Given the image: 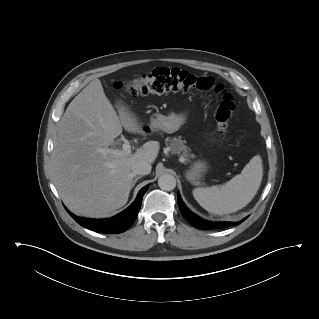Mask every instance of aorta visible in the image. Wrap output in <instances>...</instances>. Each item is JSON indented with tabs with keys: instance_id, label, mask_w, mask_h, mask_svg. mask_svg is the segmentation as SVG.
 Instances as JSON below:
<instances>
[{
	"instance_id": "aorta-1",
	"label": "aorta",
	"mask_w": 319,
	"mask_h": 319,
	"mask_svg": "<svg viewBox=\"0 0 319 319\" xmlns=\"http://www.w3.org/2000/svg\"><path fill=\"white\" fill-rule=\"evenodd\" d=\"M158 186L164 191H171L176 187V178L171 174H163L158 179Z\"/></svg>"
}]
</instances>
